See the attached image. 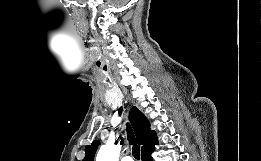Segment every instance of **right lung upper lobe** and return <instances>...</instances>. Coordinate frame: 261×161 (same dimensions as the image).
Segmentation results:
<instances>
[{
	"label": "right lung upper lobe",
	"instance_id": "1",
	"mask_svg": "<svg viewBox=\"0 0 261 161\" xmlns=\"http://www.w3.org/2000/svg\"><path fill=\"white\" fill-rule=\"evenodd\" d=\"M129 119L134 128L138 144L142 145V155L154 150V146L158 144L157 137L156 133L150 130V124L146 117L136 107H132ZM99 144V141H94L91 145L86 146L83 161H93Z\"/></svg>",
	"mask_w": 261,
	"mask_h": 161
}]
</instances>
